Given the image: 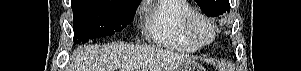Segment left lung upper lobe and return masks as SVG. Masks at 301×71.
Listing matches in <instances>:
<instances>
[{"instance_id":"obj_1","label":"left lung upper lobe","mask_w":301,"mask_h":71,"mask_svg":"<svg viewBox=\"0 0 301 71\" xmlns=\"http://www.w3.org/2000/svg\"><path fill=\"white\" fill-rule=\"evenodd\" d=\"M203 12L209 17L230 12L229 0H195Z\"/></svg>"}]
</instances>
